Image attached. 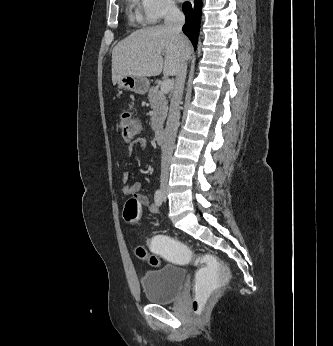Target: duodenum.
<instances>
[{
    "label": "duodenum",
    "mask_w": 333,
    "mask_h": 346,
    "mask_svg": "<svg viewBox=\"0 0 333 346\" xmlns=\"http://www.w3.org/2000/svg\"><path fill=\"white\" fill-rule=\"evenodd\" d=\"M164 131L162 129H156L154 133L155 141L158 144H162L164 142Z\"/></svg>",
    "instance_id": "410a0bca"
}]
</instances>
